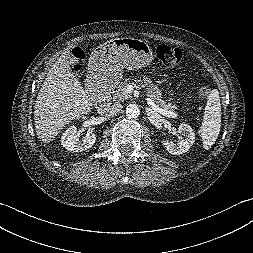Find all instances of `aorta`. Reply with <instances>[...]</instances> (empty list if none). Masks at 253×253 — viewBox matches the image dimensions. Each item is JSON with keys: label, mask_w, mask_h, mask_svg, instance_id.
<instances>
[{"label": "aorta", "mask_w": 253, "mask_h": 253, "mask_svg": "<svg viewBox=\"0 0 253 253\" xmlns=\"http://www.w3.org/2000/svg\"><path fill=\"white\" fill-rule=\"evenodd\" d=\"M140 114V109L135 104H130L126 108V115L129 118H136Z\"/></svg>", "instance_id": "1"}]
</instances>
